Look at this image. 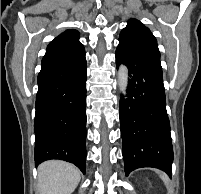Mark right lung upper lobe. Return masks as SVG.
I'll return each instance as SVG.
<instances>
[{
	"label": "right lung upper lobe",
	"mask_w": 201,
	"mask_h": 194,
	"mask_svg": "<svg viewBox=\"0 0 201 194\" xmlns=\"http://www.w3.org/2000/svg\"><path fill=\"white\" fill-rule=\"evenodd\" d=\"M84 46L79 42L77 30H66L47 47L42 59V68H65L85 62Z\"/></svg>",
	"instance_id": "1"
}]
</instances>
